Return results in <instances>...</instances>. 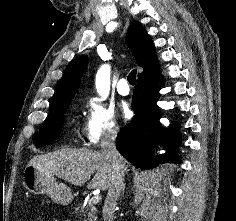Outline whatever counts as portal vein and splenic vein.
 I'll list each match as a JSON object with an SVG mask.
<instances>
[{
	"instance_id": "1",
	"label": "portal vein and splenic vein",
	"mask_w": 236,
	"mask_h": 221,
	"mask_svg": "<svg viewBox=\"0 0 236 221\" xmlns=\"http://www.w3.org/2000/svg\"><path fill=\"white\" fill-rule=\"evenodd\" d=\"M101 200V197L99 195H95L91 198V201L93 204H98Z\"/></svg>"
}]
</instances>
